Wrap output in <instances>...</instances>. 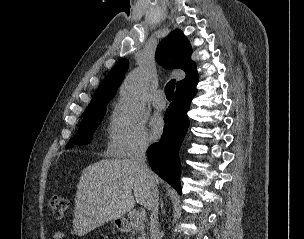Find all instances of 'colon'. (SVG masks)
<instances>
[{"label": "colon", "mask_w": 304, "mask_h": 239, "mask_svg": "<svg viewBox=\"0 0 304 239\" xmlns=\"http://www.w3.org/2000/svg\"><path fill=\"white\" fill-rule=\"evenodd\" d=\"M70 200L65 196H53L50 199V207L56 218H63L70 209Z\"/></svg>", "instance_id": "colon-1"}]
</instances>
